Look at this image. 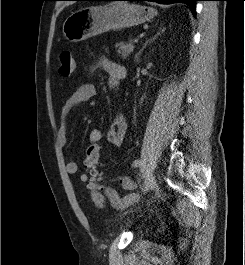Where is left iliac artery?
Here are the masks:
<instances>
[{"label":"left iliac artery","instance_id":"obj_1","mask_svg":"<svg viewBox=\"0 0 245 265\" xmlns=\"http://www.w3.org/2000/svg\"><path fill=\"white\" fill-rule=\"evenodd\" d=\"M141 165V161L140 160H135L132 164L133 167H138Z\"/></svg>","mask_w":245,"mask_h":265}]
</instances>
